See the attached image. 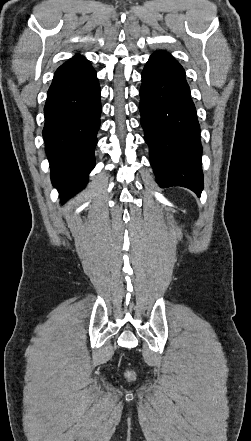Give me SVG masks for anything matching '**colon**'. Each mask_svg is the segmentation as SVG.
Returning a JSON list of instances; mask_svg holds the SVG:
<instances>
[{
	"mask_svg": "<svg viewBox=\"0 0 251 441\" xmlns=\"http://www.w3.org/2000/svg\"><path fill=\"white\" fill-rule=\"evenodd\" d=\"M126 377H127L128 380H133L134 379V372L131 371V370H128L126 372Z\"/></svg>",
	"mask_w": 251,
	"mask_h": 441,
	"instance_id": "colon-1",
	"label": "colon"
}]
</instances>
